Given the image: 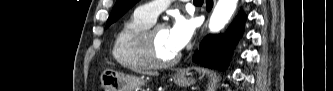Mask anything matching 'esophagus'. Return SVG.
<instances>
[{
	"label": "esophagus",
	"mask_w": 333,
	"mask_h": 91,
	"mask_svg": "<svg viewBox=\"0 0 333 91\" xmlns=\"http://www.w3.org/2000/svg\"><path fill=\"white\" fill-rule=\"evenodd\" d=\"M205 27H206V23L202 27L201 34H203Z\"/></svg>",
	"instance_id": "34e87169"
}]
</instances>
